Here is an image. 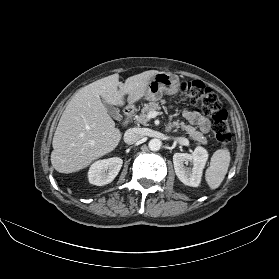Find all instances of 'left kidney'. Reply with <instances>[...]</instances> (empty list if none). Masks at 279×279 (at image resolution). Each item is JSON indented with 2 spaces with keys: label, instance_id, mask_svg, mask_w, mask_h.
Returning a JSON list of instances; mask_svg holds the SVG:
<instances>
[{
  "label": "left kidney",
  "instance_id": "1",
  "mask_svg": "<svg viewBox=\"0 0 279 279\" xmlns=\"http://www.w3.org/2000/svg\"><path fill=\"white\" fill-rule=\"evenodd\" d=\"M207 159L208 153L203 147H196L191 154L175 153L173 155V164L179 180L188 186H199ZM188 163L191 164V167L184 165Z\"/></svg>",
  "mask_w": 279,
  "mask_h": 279
}]
</instances>
